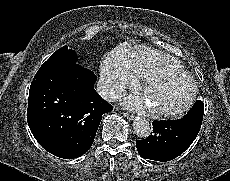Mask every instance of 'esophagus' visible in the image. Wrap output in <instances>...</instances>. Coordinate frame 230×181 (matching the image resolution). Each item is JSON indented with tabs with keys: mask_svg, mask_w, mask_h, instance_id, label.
<instances>
[{
	"mask_svg": "<svg viewBox=\"0 0 230 181\" xmlns=\"http://www.w3.org/2000/svg\"><path fill=\"white\" fill-rule=\"evenodd\" d=\"M123 115H124V117L127 118L128 120H133V118H134V116H133L131 113L127 112V111H124V112H123Z\"/></svg>",
	"mask_w": 230,
	"mask_h": 181,
	"instance_id": "1",
	"label": "esophagus"
}]
</instances>
